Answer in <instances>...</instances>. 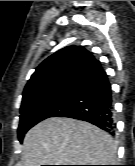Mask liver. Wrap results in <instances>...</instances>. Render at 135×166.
<instances>
[{"instance_id":"obj_1","label":"liver","mask_w":135,"mask_h":166,"mask_svg":"<svg viewBox=\"0 0 135 166\" xmlns=\"http://www.w3.org/2000/svg\"><path fill=\"white\" fill-rule=\"evenodd\" d=\"M112 137L88 122L52 117L31 128L23 141L24 166L113 165Z\"/></svg>"}]
</instances>
